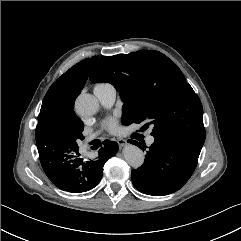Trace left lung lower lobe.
<instances>
[{"mask_svg":"<svg viewBox=\"0 0 241 241\" xmlns=\"http://www.w3.org/2000/svg\"><path fill=\"white\" fill-rule=\"evenodd\" d=\"M155 141L144 164L132 170V183L148 195L164 196L179 190L193 174L202 146L169 135L153 136ZM128 142L140 147L137 141Z\"/></svg>","mask_w":241,"mask_h":241,"instance_id":"0a47b994","label":"left lung lower lobe"}]
</instances>
